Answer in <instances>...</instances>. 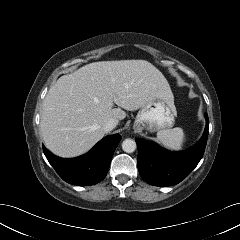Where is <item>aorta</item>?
<instances>
[{"label": "aorta", "mask_w": 240, "mask_h": 240, "mask_svg": "<svg viewBox=\"0 0 240 240\" xmlns=\"http://www.w3.org/2000/svg\"><path fill=\"white\" fill-rule=\"evenodd\" d=\"M122 149L126 153H132L136 150V142L132 139H125L122 142Z\"/></svg>", "instance_id": "762f6f07"}]
</instances>
